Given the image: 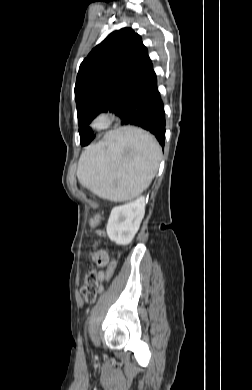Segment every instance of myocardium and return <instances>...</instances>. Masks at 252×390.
Masks as SVG:
<instances>
[{"mask_svg":"<svg viewBox=\"0 0 252 390\" xmlns=\"http://www.w3.org/2000/svg\"><path fill=\"white\" fill-rule=\"evenodd\" d=\"M114 117L108 111L98 112L91 121V126L97 130H105L113 123Z\"/></svg>","mask_w":252,"mask_h":390,"instance_id":"myocardium-1","label":"myocardium"}]
</instances>
